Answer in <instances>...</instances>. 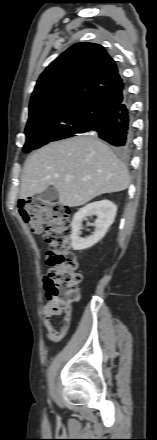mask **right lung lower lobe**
Wrapping results in <instances>:
<instances>
[{
    "instance_id": "1",
    "label": "right lung lower lobe",
    "mask_w": 157,
    "mask_h": 440,
    "mask_svg": "<svg viewBox=\"0 0 157 440\" xmlns=\"http://www.w3.org/2000/svg\"><path fill=\"white\" fill-rule=\"evenodd\" d=\"M84 131L85 133L89 131L96 132L101 139L122 151H127L132 142L130 107L127 95H125L120 105L89 120L84 126Z\"/></svg>"
}]
</instances>
